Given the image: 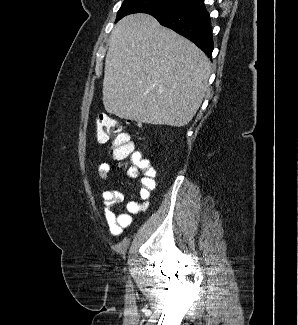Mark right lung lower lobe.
Here are the masks:
<instances>
[{
    "label": "right lung lower lobe",
    "mask_w": 298,
    "mask_h": 325,
    "mask_svg": "<svg viewBox=\"0 0 298 325\" xmlns=\"http://www.w3.org/2000/svg\"><path fill=\"white\" fill-rule=\"evenodd\" d=\"M154 17L161 25L188 38L211 57L214 48L213 36L209 13L203 0H194L178 10Z\"/></svg>",
    "instance_id": "98d812e1"
}]
</instances>
